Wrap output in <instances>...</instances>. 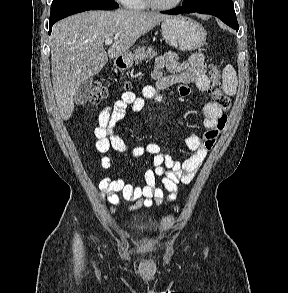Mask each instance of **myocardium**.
I'll list each match as a JSON object with an SVG mask.
<instances>
[{"label": "myocardium", "mask_w": 288, "mask_h": 293, "mask_svg": "<svg viewBox=\"0 0 288 293\" xmlns=\"http://www.w3.org/2000/svg\"><path fill=\"white\" fill-rule=\"evenodd\" d=\"M145 2L147 3V5H149L150 7L154 8V9L170 10V9H174L177 6H179L180 3L182 2V0H174L172 3H169V4H161V3L156 2L155 0H145Z\"/></svg>", "instance_id": "1"}]
</instances>
